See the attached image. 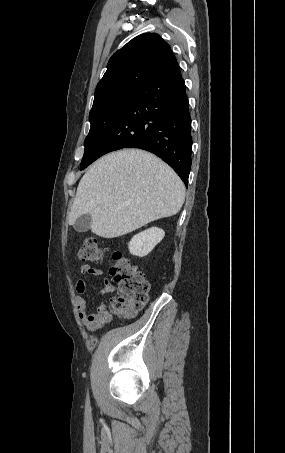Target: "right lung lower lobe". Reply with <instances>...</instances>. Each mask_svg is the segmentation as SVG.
Here are the masks:
<instances>
[{"mask_svg":"<svg viewBox=\"0 0 285 453\" xmlns=\"http://www.w3.org/2000/svg\"><path fill=\"white\" fill-rule=\"evenodd\" d=\"M122 148L154 153L187 186L191 167V117L179 65L155 75L137 92L101 146L97 158Z\"/></svg>","mask_w":285,"mask_h":453,"instance_id":"98d812e1","label":"right lung lower lobe"}]
</instances>
